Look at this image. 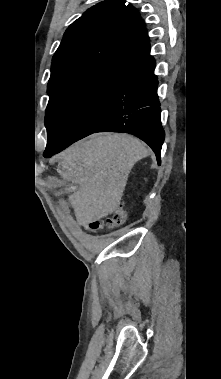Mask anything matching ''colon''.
I'll return each mask as SVG.
<instances>
[{"label": "colon", "instance_id": "1", "mask_svg": "<svg viewBox=\"0 0 221 379\" xmlns=\"http://www.w3.org/2000/svg\"><path fill=\"white\" fill-rule=\"evenodd\" d=\"M126 220V214L122 208H118L105 220H95L90 222L86 228L90 231H99L104 227L113 228L123 224Z\"/></svg>", "mask_w": 221, "mask_h": 379}]
</instances>
